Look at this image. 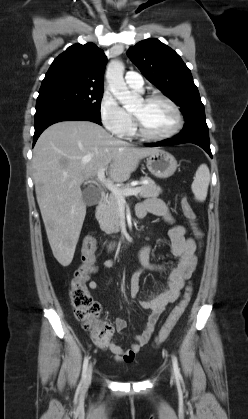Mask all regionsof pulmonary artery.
Here are the masks:
<instances>
[{"instance_id":"e3ab8cb5","label":"pulmonary artery","mask_w":248,"mask_h":419,"mask_svg":"<svg viewBox=\"0 0 248 419\" xmlns=\"http://www.w3.org/2000/svg\"><path fill=\"white\" fill-rule=\"evenodd\" d=\"M125 82L128 87L141 91L143 88V78L140 73L130 71L125 74Z\"/></svg>"}]
</instances>
